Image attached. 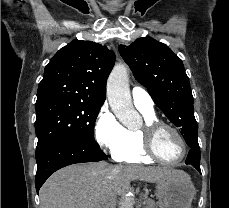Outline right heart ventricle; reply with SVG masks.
Returning <instances> with one entry per match:
<instances>
[{"label": "right heart ventricle", "mask_w": 229, "mask_h": 208, "mask_svg": "<svg viewBox=\"0 0 229 208\" xmlns=\"http://www.w3.org/2000/svg\"><path fill=\"white\" fill-rule=\"evenodd\" d=\"M126 77V75H125ZM145 121L157 120L155 112L150 113L140 110ZM127 134L128 145L115 154L118 160L125 162H152L154 158H147V153L142 152V143H146L140 130L125 129Z\"/></svg>", "instance_id": "e07e8e85"}]
</instances>
